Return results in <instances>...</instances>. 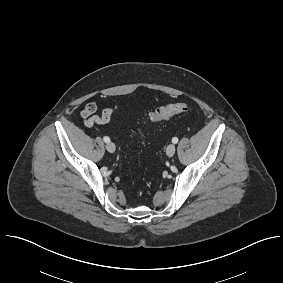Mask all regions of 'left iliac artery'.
Returning <instances> with one entry per match:
<instances>
[{
  "label": "left iliac artery",
  "instance_id": "left-iliac-artery-1",
  "mask_svg": "<svg viewBox=\"0 0 283 283\" xmlns=\"http://www.w3.org/2000/svg\"><path fill=\"white\" fill-rule=\"evenodd\" d=\"M177 142H178V138H177V137H174V138L172 139V143L176 144Z\"/></svg>",
  "mask_w": 283,
  "mask_h": 283
}]
</instances>
